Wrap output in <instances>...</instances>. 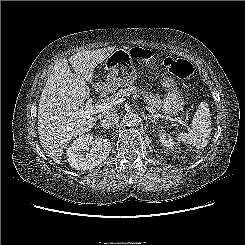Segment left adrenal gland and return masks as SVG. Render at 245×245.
Masks as SVG:
<instances>
[{
	"mask_svg": "<svg viewBox=\"0 0 245 245\" xmlns=\"http://www.w3.org/2000/svg\"><path fill=\"white\" fill-rule=\"evenodd\" d=\"M144 119H149L151 122H153V123H155V124H157V121H156V119L155 118H153L152 116H146V117H144Z\"/></svg>",
	"mask_w": 245,
	"mask_h": 245,
	"instance_id": "1",
	"label": "left adrenal gland"
}]
</instances>
